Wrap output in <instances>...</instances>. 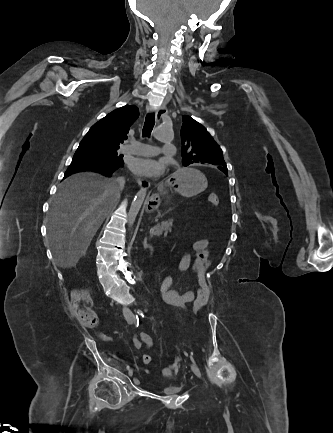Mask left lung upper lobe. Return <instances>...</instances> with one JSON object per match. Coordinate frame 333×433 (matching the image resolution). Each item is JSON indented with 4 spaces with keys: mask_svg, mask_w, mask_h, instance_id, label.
<instances>
[{
    "mask_svg": "<svg viewBox=\"0 0 333 433\" xmlns=\"http://www.w3.org/2000/svg\"><path fill=\"white\" fill-rule=\"evenodd\" d=\"M181 142L184 166L208 163L217 165L222 172L228 174L222 150L205 127L190 116H183Z\"/></svg>",
    "mask_w": 333,
    "mask_h": 433,
    "instance_id": "5c2ea615",
    "label": "left lung upper lobe"
}]
</instances>
